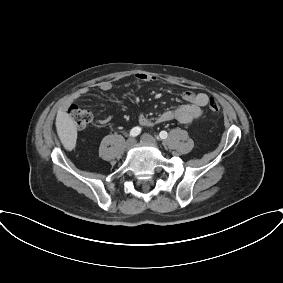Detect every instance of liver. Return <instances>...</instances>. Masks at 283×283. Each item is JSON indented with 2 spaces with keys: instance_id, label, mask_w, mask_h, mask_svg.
Masks as SVG:
<instances>
[{
  "instance_id": "6515ba94",
  "label": "liver",
  "mask_w": 283,
  "mask_h": 283,
  "mask_svg": "<svg viewBox=\"0 0 283 283\" xmlns=\"http://www.w3.org/2000/svg\"><path fill=\"white\" fill-rule=\"evenodd\" d=\"M56 129L64 148L72 150L76 145L77 130L72 118L62 109L57 112Z\"/></svg>"
}]
</instances>
